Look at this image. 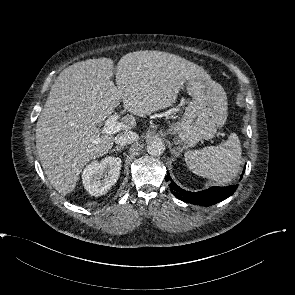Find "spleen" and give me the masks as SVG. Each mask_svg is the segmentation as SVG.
Returning <instances> with one entry per match:
<instances>
[{
	"instance_id": "1",
	"label": "spleen",
	"mask_w": 295,
	"mask_h": 295,
	"mask_svg": "<svg viewBox=\"0 0 295 295\" xmlns=\"http://www.w3.org/2000/svg\"><path fill=\"white\" fill-rule=\"evenodd\" d=\"M184 156L193 173L224 185L231 182L240 170L241 145L238 136L232 133L218 146L187 151Z\"/></svg>"
}]
</instances>
